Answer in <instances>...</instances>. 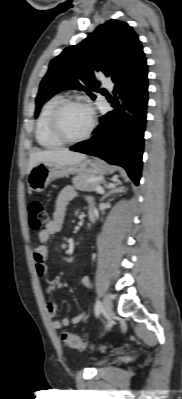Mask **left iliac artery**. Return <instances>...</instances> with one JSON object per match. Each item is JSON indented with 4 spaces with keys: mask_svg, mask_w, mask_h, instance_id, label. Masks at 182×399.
<instances>
[{
    "mask_svg": "<svg viewBox=\"0 0 182 399\" xmlns=\"http://www.w3.org/2000/svg\"><path fill=\"white\" fill-rule=\"evenodd\" d=\"M101 309H102V303H101L100 300H97V301H96V304H95V308H94V313H95V316H96V317L99 316V314H100V312H101Z\"/></svg>",
    "mask_w": 182,
    "mask_h": 399,
    "instance_id": "1",
    "label": "left iliac artery"
}]
</instances>
